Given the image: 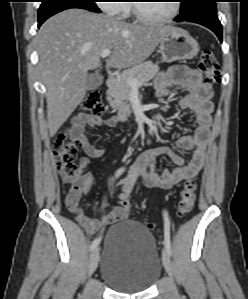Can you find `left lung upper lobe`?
I'll use <instances>...</instances> for the list:
<instances>
[{
	"label": "left lung upper lobe",
	"mask_w": 248,
	"mask_h": 299,
	"mask_svg": "<svg viewBox=\"0 0 248 299\" xmlns=\"http://www.w3.org/2000/svg\"><path fill=\"white\" fill-rule=\"evenodd\" d=\"M216 0H182L180 17L192 18L205 13H216Z\"/></svg>",
	"instance_id": "left-lung-upper-lobe-1"
}]
</instances>
